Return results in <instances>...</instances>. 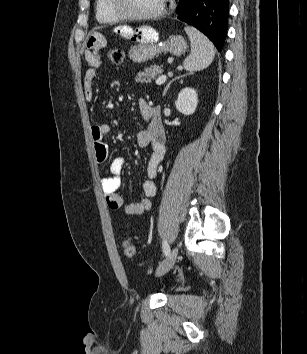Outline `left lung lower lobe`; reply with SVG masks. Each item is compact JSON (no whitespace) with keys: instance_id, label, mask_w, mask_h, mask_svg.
I'll use <instances>...</instances> for the list:
<instances>
[{"instance_id":"1","label":"left lung lower lobe","mask_w":307,"mask_h":354,"mask_svg":"<svg viewBox=\"0 0 307 354\" xmlns=\"http://www.w3.org/2000/svg\"><path fill=\"white\" fill-rule=\"evenodd\" d=\"M178 19L196 27L221 51L228 29L229 0H179Z\"/></svg>"}]
</instances>
